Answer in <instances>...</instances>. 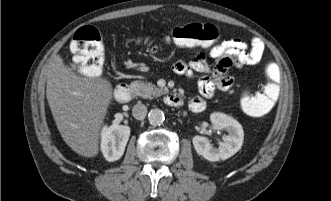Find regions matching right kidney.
<instances>
[{"label": "right kidney", "mask_w": 331, "mask_h": 201, "mask_svg": "<svg viewBox=\"0 0 331 201\" xmlns=\"http://www.w3.org/2000/svg\"><path fill=\"white\" fill-rule=\"evenodd\" d=\"M129 136V126L112 124L109 127H103L101 132V151L107 161H116L121 158Z\"/></svg>", "instance_id": "1"}]
</instances>
